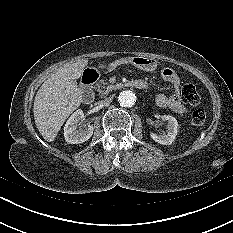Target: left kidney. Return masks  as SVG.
<instances>
[{
	"instance_id": "left-kidney-1",
	"label": "left kidney",
	"mask_w": 233,
	"mask_h": 233,
	"mask_svg": "<svg viewBox=\"0 0 233 233\" xmlns=\"http://www.w3.org/2000/svg\"><path fill=\"white\" fill-rule=\"evenodd\" d=\"M162 119L164 121L168 122L167 125V133H161V134H156V133H151L150 137L157 143L162 144V145H170L174 141L177 132H178V122L177 120L171 116V115H164L162 116Z\"/></svg>"
}]
</instances>
